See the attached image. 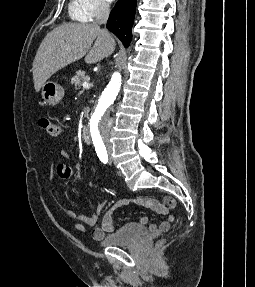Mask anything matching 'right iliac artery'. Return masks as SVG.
Segmentation results:
<instances>
[{
    "label": "right iliac artery",
    "instance_id": "82829eb1",
    "mask_svg": "<svg viewBox=\"0 0 255 287\" xmlns=\"http://www.w3.org/2000/svg\"><path fill=\"white\" fill-rule=\"evenodd\" d=\"M97 156L103 163L108 162V156H107V151L105 147H100L96 149Z\"/></svg>",
    "mask_w": 255,
    "mask_h": 287
}]
</instances>
